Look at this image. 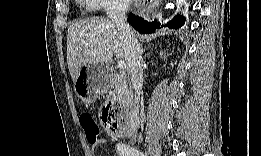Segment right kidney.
<instances>
[{"mask_svg": "<svg viewBox=\"0 0 261 156\" xmlns=\"http://www.w3.org/2000/svg\"><path fill=\"white\" fill-rule=\"evenodd\" d=\"M160 57H163V52L161 51ZM167 59L166 55H164V60Z\"/></svg>", "mask_w": 261, "mask_h": 156, "instance_id": "ca27d5eb", "label": "right kidney"}]
</instances>
